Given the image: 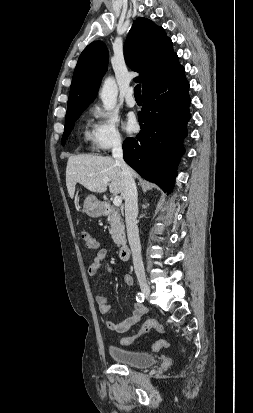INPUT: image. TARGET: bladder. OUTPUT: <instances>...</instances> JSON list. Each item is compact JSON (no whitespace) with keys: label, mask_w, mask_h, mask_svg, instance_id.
I'll list each match as a JSON object with an SVG mask.
<instances>
[{"label":"bladder","mask_w":253,"mask_h":413,"mask_svg":"<svg viewBox=\"0 0 253 413\" xmlns=\"http://www.w3.org/2000/svg\"><path fill=\"white\" fill-rule=\"evenodd\" d=\"M108 352L115 362L129 367L147 368L156 363L153 355L144 352L126 350L117 346H110Z\"/></svg>","instance_id":"1"}]
</instances>
